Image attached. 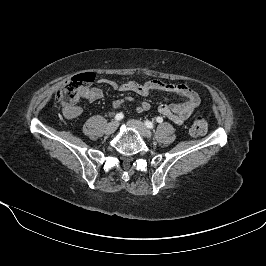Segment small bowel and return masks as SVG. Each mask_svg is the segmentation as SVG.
Listing matches in <instances>:
<instances>
[{
  "instance_id": "c3829d8e",
  "label": "small bowel",
  "mask_w": 266,
  "mask_h": 266,
  "mask_svg": "<svg viewBox=\"0 0 266 266\" xmlns=\"http://www.w3.org/2000/svg\"><path fill=\"white\" fill-rule=\"evenodd\" d=\"M98 84L107 85L119 92H133L141 96H149L156 91L167 92L176 95L183 99V102L176 104H161L158 107V112L171 120L175 124H183L187 121L195 109L199 106L201 99L199 95L186 84H172L160 80H150L144 83H139L134 80L118 83L108 79H99ZM83 97L89 102H95L103 97V90L97 86L86 87L82 92ZM134 99L126 96L122 99L115 100L112 103L114 108H118L125 103H132ZM150 104L146 101L140 102L136 107V112L141 114L149 110ZM82 109L76 106L72 111H64L68 118L79 116Z\"/></svg>"
}]
</instances>
